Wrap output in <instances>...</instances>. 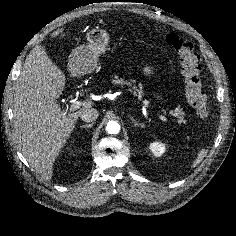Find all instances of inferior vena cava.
<instances>
[{
    "label": "inferior vena cava",
    "mask_w": 236,
    "mask_h": 236,
    "mask_svg": "<svg viewBox=\"0 0 236 236\" xmlns=\"http://www.w3.org/2000/svg\"><path fill=\"white\" fill-rule=\"evenodd\" d=\"M99 112L95 108H86L80 112V118L85 122H92L97 119Z\"/></svg>",
    "instance_id": "inferior-vena-cava-1"
}]
</instances>
